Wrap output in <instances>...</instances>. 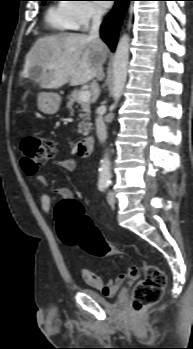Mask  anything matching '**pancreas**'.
<instances>
[{
  "label": "pancreas",
  "instance_id": "pancreas-1",
  "mask_svg": "<svg viewBox=\"0 0 193 349\" xmlns=\"http://www.w3.org/2000/svg\"><path fill=\"white\" fill-rule=\"evenodd\" d=\"M79 90H74L70 93V95H68L67 99V104L66 107L68 108V110L70 111L71 114H73L74 109H73V105L74 103H78L81 105V112L79 114V117L81 119H83L82 123L79 124L78 126V132L83 134L84 136L88 135L90 130H91V126L92 124L90 123V101H82L79 98L80 95Z\"/></svg>",
  "mask_w": 193,
  "mask_h": 349
}]
</instances>
